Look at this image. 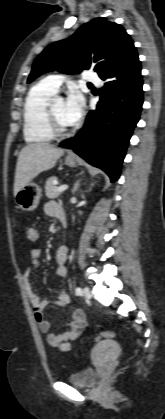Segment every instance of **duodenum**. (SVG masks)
Listing matches in <instances>:
<instances>
[{"mask_svg": "<svg viewBox=\"0 0 165 419\" xmlns=\"http://www.w3.org/2000/svg\"><path fill=\"white\" fill-rule=\"evenodd\" d=\"M57 217L61 220L63 227L65 228L67 224V219H66L65 211L61 206H58L57 208Z\"/></svg>", "mask_w": 165, "mask_h": 419, "instance_id": "410a0bca", "label": "duodenum"}]
</instances>
